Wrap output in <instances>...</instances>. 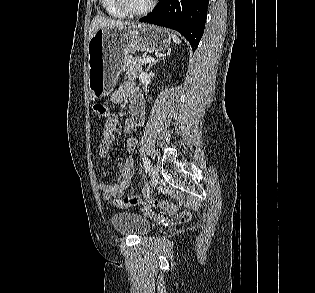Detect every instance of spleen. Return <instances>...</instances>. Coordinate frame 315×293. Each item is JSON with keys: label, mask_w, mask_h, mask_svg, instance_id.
<instances>
[{"label": "spleen", "mask_w": 315, "mask_h": 293, "mask_svg": "<svg viewBox=\"0 0 315 293\" xmlns=\"http://www.w3.org/2000/svg\"><path fill=\"white\" fill-rule=\"evenodd\" d=\"M171 37H172L173 42L175 44H180L181 43L180 39L175 34L171 33Z\"/></svg>", "instance_id": "obj_1"}]
</instances>
